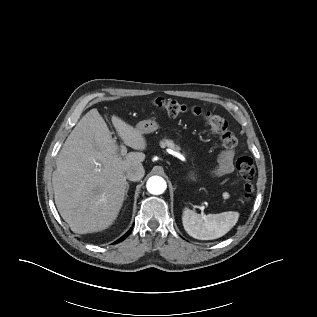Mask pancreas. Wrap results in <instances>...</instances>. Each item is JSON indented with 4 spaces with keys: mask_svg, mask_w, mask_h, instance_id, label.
<instances>
[{
    "mask_svg": "<svg viewBox=\"0 0 317 317\" xmlns=\"http://www.w3.org/2000/svg\"><path fill=\"white\" fill-rule=\"evenodd\" d=\"M160 146H161L162 148L168 147V148L173 149V150H175V151H179V149H180L178 146H176V145L174 144V142H173L172 140H168V139H165L164 141H162V142L160 143Z\"/></svg>",
    "mask_w": 317,
    "mask_h": 317,
    "instance_id": "pancreas-1",
    "label": "pancreas"
}]
</instances>
